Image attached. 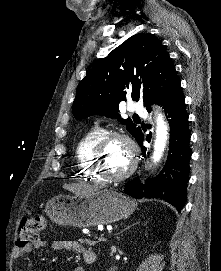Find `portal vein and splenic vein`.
Listing matches in <instances>:
<instances>
[{
    "instance_id": "18ae733b",
    "label": "portal vein and splenic vein",
    "mask_w": 221,
    "mask_h": 271,
    "mask_svg": "<svg viewBox=\"0 0 221 271\" xmlns=\"http://www.w3.org/2000/svg\"><path fill=\"white\" fill-rule=\"evenodd\" d=\"M106 238H107L106 235H100V236H99V239H100V240H106Z\"/></svg>"
}]
</instances>
